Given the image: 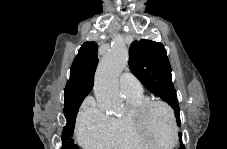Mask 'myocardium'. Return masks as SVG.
Listing matches in <instances>:
<instances>
[{
  "label": "myocardium",
  "instance_id": "myocardium-1",
  "mask_svg": "<svg viewBox=\"0 0 227 149\" xmlns=\"http://www.w3.org/2000/svg\"><path fill=\"white\" fill-rule=\"evenodd\" d=\"M155 106H160L164 108L171 119L172 123V131H173V136H172V141L169 144H158L155 143L147 134L146 131V117L149 111L155 107ZM131 122L132 126L138 135V137L144 141L148 146H153V147H170L174 146L177 143L178 140V125H177V120L175 116V112L173 108L167 104L164 101L161 100H146L139 104L137 107H135L131 113Z\"/></svg>",
  "mask_w": 227,
  "mask_h": 149
}]
</instances>
